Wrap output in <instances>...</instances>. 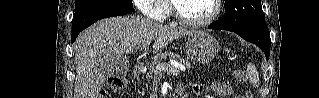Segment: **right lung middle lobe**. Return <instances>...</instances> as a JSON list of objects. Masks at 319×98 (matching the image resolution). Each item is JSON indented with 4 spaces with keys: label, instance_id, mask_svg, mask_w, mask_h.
Returning <instances> with one entry per match:
<instances>
[{
    "label": "right lung middle lobe",
    "instance_id": "right-lung-middle-lobe-1",
    "mask_svg": "<svg viewBox=\"0 0 319 98\" xmlns=\"http://www.w3.org/2000/svg\"><path fill=\"white\" fill-rule=\"evenodd\" d=\"M131 0H76L75 13L105 7L132 8Z\"/></svg>",
    "mask_w": 319,
    "mask_h": 98
}]
</instances>
